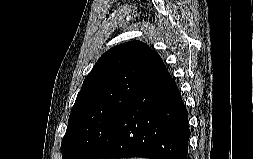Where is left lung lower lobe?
Returning <instances> with one entry per match:
<instances>
[{"label": "left lung lower lobe", "mask_w": 253, "mask_h": 159, "mask_svg": "<svg viewBox=\"0 0 253 159\" xmlns=\"http://www.w3.org/2000/svg\"><path fill=\"white\" fill-rule=\"evenodd\" d=\"M188 112L165 70L121 112L94 159H187Z\"/></svg>", "instance_id": "left-lung-lower-lobe-1"}]
</instances>
